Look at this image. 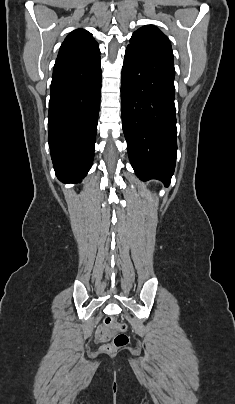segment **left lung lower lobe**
Here are the masks:
<instances>
[{
  "label": "left lung lower lobe",
  "mask_w": 235,
  "mask_h": 404,
  "mask_svg": "<svg viewBox=\"0 0 235 404\" xmlns=\"http://www.w3.org/2000/svg\"><path fill=\"white\" fill-rule=\"evenodd\" d=\"M174 65L127 48L122 68L121 112L128 156L143 181L169 185L177 142Z\"/></svg>",
  "instance_id": "obj_1"
}]
</instances>
